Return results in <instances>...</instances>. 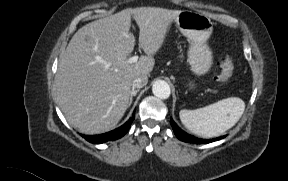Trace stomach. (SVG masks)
<instances>
[{
    "instance_id": "1",
    "label": "stomach",
    "mask_w": 288,
    "mask_h": 181,
    "mask_svg": "<svg viewBox=\"0 0 288 181\" xmlns=\"http://www.w3.org/2000/svg\"><path fill=\"white\" fill-rule=\"evenodd\" d=\"M175 23L190 42L187 62L192 72L199 76L206 74L213 64L212 51L207 45L213 31L212 21L204 14L183 10L175 19ZM189 86L193 88L194 84L190 83Z\"/></svg>"
}]
</instances>
